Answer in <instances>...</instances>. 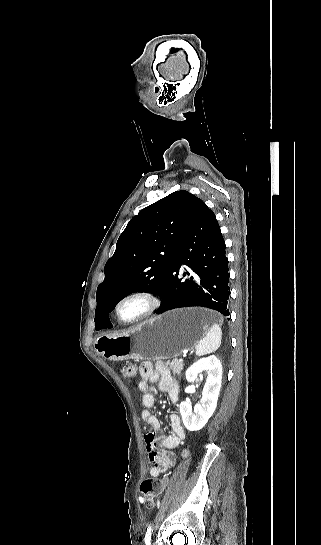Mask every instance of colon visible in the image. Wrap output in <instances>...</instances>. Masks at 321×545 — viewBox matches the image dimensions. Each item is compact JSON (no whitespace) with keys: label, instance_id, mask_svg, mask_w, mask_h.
I'll use <instances>...</instances> for the list:
<instances>
[{"label":"colon","instance_id":"1","mask_svg":"<svg viewBox=\"0 0 321 545\" xmlns=\"http://www.w3.org/2000/svg\"><path fill=\"white\" fill-rule=\"evenodd\" d=\"M120 372L126 379H132L135 376V368L133 365H125L120 368ZM165 481L151 477L142 481L140 486V501L146 507L154 505L156 499L163 492Z\"/></svg>","mask_w":321,"mask_h":545}]
</instances>
